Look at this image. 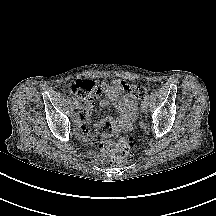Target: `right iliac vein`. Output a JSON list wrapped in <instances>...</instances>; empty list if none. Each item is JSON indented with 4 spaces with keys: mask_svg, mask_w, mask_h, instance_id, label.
Returning a JSON list of instances; mask_svg holds the SVG:
<instances>
[{
    "mask_svg": "<svg viewBox=\"0 0 216 216\" xmlns=\"http://www.w3.org/2000/svg\"><path fill=\"white\" fill-rule=\"evenodd\" d=\"M74 107H75L76 109H79V108H80V103H79L78 101H75V102H74Z\"/></svg>",
    "mask_w": 216,
    "mask_h": 216,
    "instance_id": "right-iliac-vein-1",
    "label": "right iliac vein"
}]
</instances>
